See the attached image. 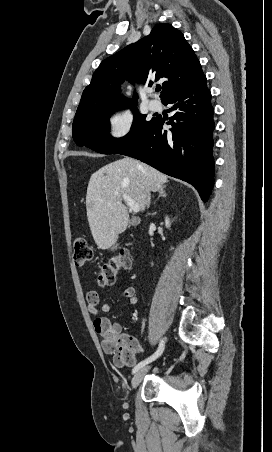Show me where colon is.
<instances>
[{
    "instance_id": "colon-1",
    "label": "colon",
    "mask_w": 272,
    "mask_h": 452,
    "mask_svg": "<svg viewBox=\"0 0 272 452\" xmlns=\"http://www.w3.org/2000/svg\"><path fill=\"white\" fill-rule=\"evenodd\" d=\"M74 263L83 266L94 261V251L87 240L79 238L74 242ZM130 255L128 252L118 253L103 263L99 270L98 281L101 286L114 285L119 274L130 268ZM108 348L114 352V362L120 367H130L135 363V352L140 348L136 341L126 339L123 336L112 338Z\"/></svg>"
}]
</instances>
